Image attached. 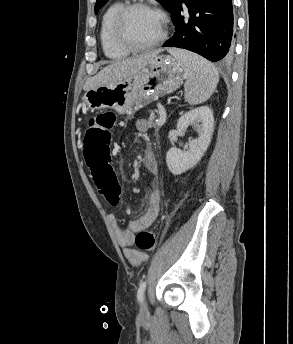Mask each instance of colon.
<instances>
[{"label":"colon","mask_w":293,"mask_h":344,"mask_svg":"<svg viewBox=\"0 0 293 344\" xmlns=\"http://www.w3.org/2000/svg\"><path fill=\"white\" fill-rule=\"evenodd\" d=\"M116 124L113 112H101L90 117L83 142V155L92 172V178L107 202L115 206L120 198V186L111 167L112 130ZM153 231L141 230L135 245L140 252H152L156 247Z\"/></svg>","instance_id":"obj_1"}]
</instances>
